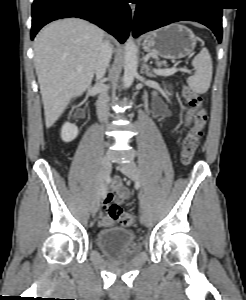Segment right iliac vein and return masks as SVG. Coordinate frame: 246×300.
Wrapping results in <instances>:
<instances>
[{"instance_id": "1", "label": "right iliac vein", "mask_w": 246, "mask_h": 300, "mask_svg": "<svg viewBox=\"0 0 246 300\" xmlns=\"http://www.w3.org/2000/svg\"><path fill=\"white\" fill-rule=\"evenodd\" d=\"M110 172H111L110 160L108 157H104L100 164L98 182L94 193V199H93V204L91 209V213L93 216L97 213L100 206L102 184H104Z\"/></svg>"}]
</instances>
